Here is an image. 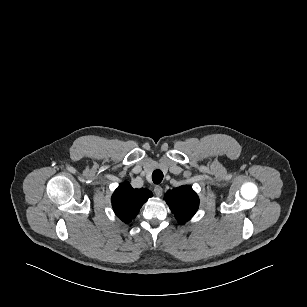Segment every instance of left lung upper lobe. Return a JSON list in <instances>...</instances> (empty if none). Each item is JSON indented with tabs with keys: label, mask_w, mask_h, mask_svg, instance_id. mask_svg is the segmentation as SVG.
<instances>
[{
	"label": "left lung upper lobe",
	"mask_w": 307,
	"mask_h": 307,
	"mask_svg": "<svg viewBox=\"0 0 307 307\" xmlns=\"http://www.w3.org/2000/svg\"><path fill=\"white\" fill-rule=\"evenodd\" d=\"M164 199L179 223L187 222L198 210V195L189 186L168 190Z\"/></svg>",
	"instance_id": "left-lung-upper-lobe-1"
}]
</instances>
